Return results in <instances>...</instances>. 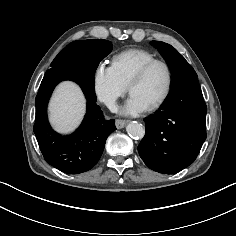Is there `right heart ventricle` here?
<instances>
[{
  "label": "right heart ventricle",
  "mask_w": 236,
  "mask_h": 236,
  "mask_svg": "<svg viewBox=\"0 0 236 236\" xmlns=\"http://www.w3.org/2000/svg\"><path fill=\"white\" fill-rule=\"evenodd\" d=\"M156 59V56L148 50L131 48L123 50L113 57L114 67L120 80L129 86L131 80L139 69L147 62Z\"/></svg>",
  "instance_id": "e07e8e85"
}]
</instances>
